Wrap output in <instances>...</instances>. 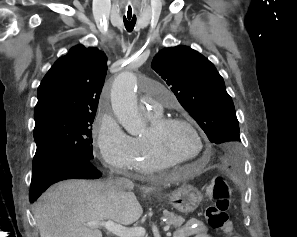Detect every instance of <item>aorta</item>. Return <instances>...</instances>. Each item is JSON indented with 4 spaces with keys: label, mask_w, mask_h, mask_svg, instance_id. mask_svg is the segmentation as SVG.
Listing matches in <instances>:
<instances>
[{
    "label": "aorta",
    "mask_w": 297,
    "mask_h": 237,
    "mask_svg": "<svg viewBox=\"0 0 297 237\" xmlns=\"http://www.w3.org/2000/svg\"><path fill=\"white\" fill-rule=\"evenodd\" d=\"M137 79L131 72L119 74L112 85V109L119 123L131 135H137L143 130V119L137 108L134 92Z\"/></svg>",
    "instance_id": "1"
}]
</instances>
